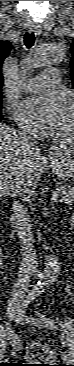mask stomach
<instances>
[{
  "instance_id": "obj_1",
  "label": "stomach",
  "mask_w": 74,
  "mask_h": 366,
  "mask_svg": "<svg viewBox=\"0 0 74 366\" xmlns=\"http://www.w3.org/2000/svg\"><path fill=\"white\" fill-rule=\"evenodd\" d=\"M51 162L55 173L63 178L73 176L74 159L67 152L59 151L51 157Z\"/></svg>"
}]
</instances>
